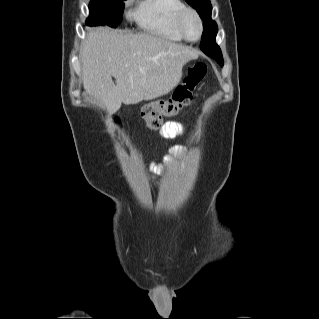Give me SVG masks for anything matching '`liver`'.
<instances>
[{
  "mask_svg": "<svg viewBox=\"0 0 319 319\" xmlns=\"http://www.w3.org/2000/svg\"><path fill=\"white\" fill-rule=\"evenodd\" d=\"M196 58V50L161 37L91 28L80 49L83 86L113 114L122 103L168 94L179 83L183 66Z\"/></svg>",
  "mask_w": 319,
  "mask_h": 319,
  "instance_id": "obj_1",
  "label": "liver"
}]
</instances>
